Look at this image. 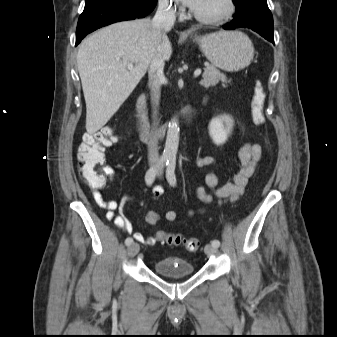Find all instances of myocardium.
<instances>
[{"label": "myocardium", "mask_w": 337, "mask_h": 337, "mask_svg": "<svg viewBox=\"0 0 337 337\" xmlns=\"http://www.w3.org/2000/svg\"><path fill=\"white\" fill-rule=\"evenodd\" d=\"M224 2L225 9L219 15H202L195 12L194 10L192 11V15L197 21L205 24H222L228 21L235 14L237 9V4L235 0H224Z\"/></svg>", "instance_id": "myocardium-1"}]
</instances>
